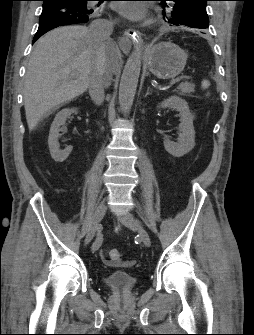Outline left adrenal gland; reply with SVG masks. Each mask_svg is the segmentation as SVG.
Instances as JSON below:
<instances>
[{
  "instance_id": "1",
  "label": "left adrenal gland",
  "mask_w": 254,
  "mask_h": 335,
  "mask_svg": "<svg viewBox=\"0 0 254 335\" xmlns=\"http://www.w3.org/2000/svg\"><path fill=\"white\" fill-rule=\"evenodd\" d=\"M149 89H150V87H148V88H147V91H146L145 97H147L148 95H150Z\"/></svg>"
}]
</instances>
